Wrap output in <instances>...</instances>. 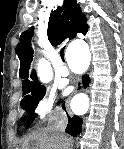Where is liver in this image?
<instances>
[{
    "label": "liver",
    "instance_id": "liver-1",
    "mask_svg": "<svg viewBox=\"0 0 124 149\" xmlns=\"http://www.w3.org/2000/svg\"><path fill=\"white\" fill-rule=\"evenodd\" d=\"M70 139H62L52 127L38 129L29 134L22 143V149H66Z\"/></svg>",
    "mask_w": 124,
    "mask_h": 149
}]
</instances>
